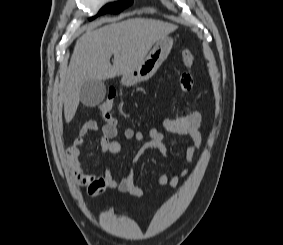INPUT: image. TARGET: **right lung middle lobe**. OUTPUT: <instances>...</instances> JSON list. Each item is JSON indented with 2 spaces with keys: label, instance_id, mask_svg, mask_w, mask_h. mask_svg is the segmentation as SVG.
<instances>
[{
  "label": "right lung middle lobe",
  "instance_id": "1",
  "mask_svg": "<svg viewBox=\"0 0 283 245\" xmlns=\"http://www.w3.org/2000/svg\"><path fill=\"white\" fill-rule=\"evenodd\" d=\"M130 4H132V0H120L117 3L108 4L103 7L95 17L105 13H119L127 8ZM95 17H91L90 20H93Z\"/></svg>",
  "mask_w": 283,
  "mask_h": 245
}]
</instances>
